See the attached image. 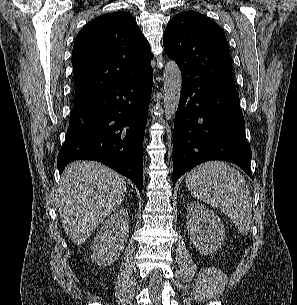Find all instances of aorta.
I'll use <instances>...</instances> for the list:
<instances>
[{
	"instance_id": "obj_1",
	"label": "aorta",
	"mask_w": 297,
	"mask_h": 305,
	"mask_svg": "<svg viewBox=\"0 0 297 305\" xmlns=\"http://www.w3.org/2000/svg\"><path fill=\"white\" fill-rule=\"evenodd\" d=\"M163 81L165 116L166 120H171L177 111L182 89V74L175 61L170 60L165 64Z\"/></svg>"
}]
</instances>
